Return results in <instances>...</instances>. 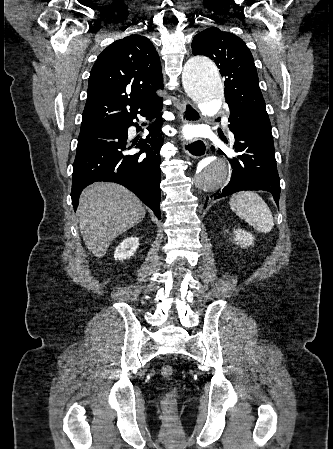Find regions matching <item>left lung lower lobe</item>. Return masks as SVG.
Returning a JSON list of instances; mask_svg holds the SVG:
<instances>
[{"instance_id": "1", "label": "left lung lower lobe", "mask_w": 333, "mask_h": 449, "mask_svg": "<svg viewBox=\"0 0 333 449\" xmlns=\"http://www.w3.org/2000/svg\"><path fill=\"white\" fill-rule=\"evenodd\" d=\"M229 122V128L235 138L233 149L236 154L228 157L219 148L217 152L229 160L233 169L232 176L226 187L210 197L215 200L242 190H263L272 193L278 204L280 178L276 167L271 127L243 119L232 111ZM223 140L227 142L226 139Z\"/></svg>"}]
</instances>
